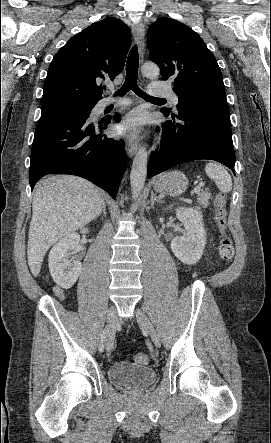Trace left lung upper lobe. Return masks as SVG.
I'll return each mask as SVG.
<instances>
[{
  "label": "left lung upper lobe",
  "instance_id": "left-lung-upper-lobe-1",
  "mask_svg": "<svg viewBox=\"0 0 271 443\" xmlns=\"http://www.w3.org/2000/svg\"><path fill=\"white\" fill-rule=\"evenodd\" d=\"M147 41L150 59L160 67L162 78L174 79L173 90L180 100L177 109L196 105L200 95L226 100L218 63L190 27L163 17L150 26Z\"/></svg>",
  "mask_w": 271,
  "mask_h": 443
}]
</instances>
